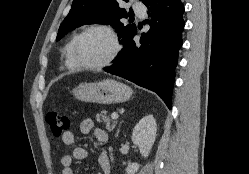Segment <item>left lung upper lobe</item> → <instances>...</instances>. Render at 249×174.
Listing matches in <instances>:
<instances>
[{"label":"left lung upper lobe","mask_w":249,"mask_h":174,"mask_svg":"<svg viewBox=\"0 0 249 174\" xmlns=\"http://www.w3.org/2000/svg\"><path fill=\"white\" fill-rule=\"evenodd\" d=\"M120 0H73L71 10L61 23L56 40L59 41L69 31L84 24H111L116 29L120 43L133 36L135 24L124 25L120 19L127 18L126 10L119 7ZM128 1V0H124ZM144 4L148 0H140Z\"/></svg>","instance_id":"obj_1"}]
</instances>
